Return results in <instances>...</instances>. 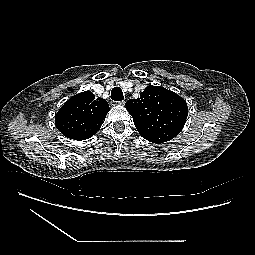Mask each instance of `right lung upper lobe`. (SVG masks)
<instances>
[{
    "instance_id": "right-lung-upper-lobe-1",
    "label": "right lung upper lobe",
    "mask_w": 255,
    "mask_h": 255,
    "mask_svg": "<svg viewBox=\"0 0 255 255\" xmlns=\"http://www.w3.org/2000/svg\"><path fill=\"white\" fill-rule=\"evenodd\" d=\"M108 111L105 99L84 91L64 103L55 116V124L65 137L86 140L100 129Z\"/></svg>"
}]
</instances>
